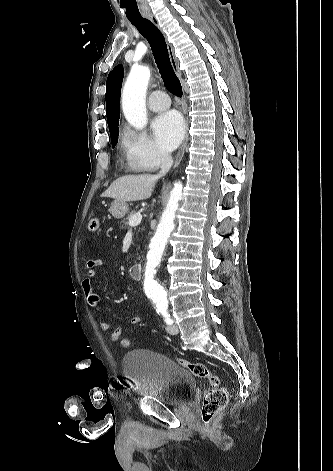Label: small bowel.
<instances>
[{"mask_svg":"<svg viewBox=\"0 0 333 471\" xmlns=\"http://www.w3.org/2000/svg\"><path fill=\"white\" fill-rule=\"evenodd\" d=\"M102 264V260L100 258H91L86 263V271L85 275L82 278V289L85 294V297L88 303L97 308L100 304V295L94 287V277L96 275V269ZM141 322V318L139 316H133L131 318V324L137 325ZM100 328L102 331L110 332V338L113 342H118L120 337L122 336L123 329L121 327L113 328L112 325L102 319L100 321Z\"/></svg>","mask_w":333,"mask_h":471,"instance_id":"obj_1","label":"small bowel"}]
</instances>
